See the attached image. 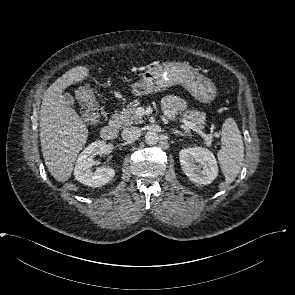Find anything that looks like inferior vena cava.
<instances>
[{
  "label": "inferior vena cava",
  "mask_w": 295,
  "mask_h": 295,
  "mask_svg": "<svg viewBox=\"0 0 295 295\" xmlns=\"http://www.w3.org/2000/svg\"><path fill=\"white\" fill-rule=\"evenodd\" d=\"M141 133L140 128L138 127H129L122 131V138L126 141H133L135 140Z\"/></svg>",
  "instance_id": "602c4592"
}]
</instances>
